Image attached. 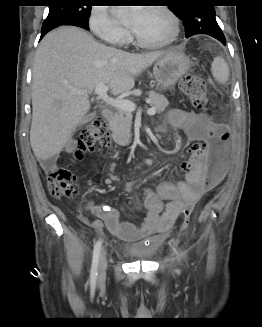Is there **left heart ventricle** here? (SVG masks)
<instances>
[{
  "mask_svg": "<svg viewBox=\"0 0 262 327\" xmlns=\"http://www.w3.org/2000/svg\"><path fill=\"white\" fill-rule=\"evenodd\" d=\"M132 29L143 39L148 41H162L172 32L171 23L161 12L147 8L137 23L129 20Z\"/></svg>",
  "mask_w": 262,
  "mask_h": 327,
  "instance_id": "b2bd125f",
  "label": "left heart ventricle"
}]
</instances>
